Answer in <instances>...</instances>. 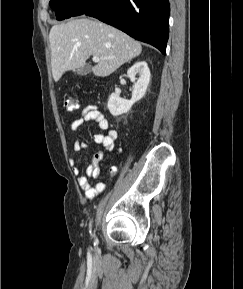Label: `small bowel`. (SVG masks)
Segmentation results:
<instances>
[{"mask_svg": "<svg viewBox=\"0 0 243 289\" xmlns=\"http://www.w3.org/2000/svg\"><path fill=\"white\" fill-rule=\"evenodd\" d=\"M90 121L97 123L99 129L105 131V133H98L94 135V144L102 146L107 151H111L114 148L118 133L114 129H109V122L107 118L97 106H86L82 110L79 117H77L71 122L70 127L72 130H78L81 126ZM86 147V143L77 140L74 143L73 149L75 152H79ZM102 158V151L95 153L91 164L87 166L86 173L83 175L80 174V169L75 165V160H70V163L73 166L74 173L77 175L78 184L80 188L84 191L87 200H91L96 197L98 194L103 192L106 187V183L103 181L97 182L94 185L91 183V179H96L100 176L99 162L102 160ZM115 172V168H112L109 172L108 178H112Z\"/></svg>", "mask_w": 243, "mask_h": 289, "instance_id": "obj_1", "label": "small bowel"}]
</instances>
